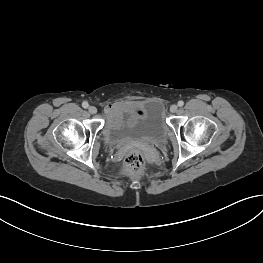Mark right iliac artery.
<instances>
[{
  "label": "right iliac artery",
  "mask_w": 263,
  "mask_h": 263,
  "mask_svg": "<svg viewBox=\"0 0 263 263\" xmlns=\"http://www.w3.org/2000/svg\"><path fill=\"white\" fill-rule=\"evenodd\" d=\"M88 106H89V104H88L87 102H83V103H82V107H83V108H88Z\"/></svg>",
  "instance_id": "obj_1"
}]
</instances>
